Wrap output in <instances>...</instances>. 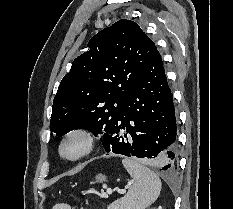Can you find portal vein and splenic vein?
Here are the masks:
<instances>
[{
	"mask_svg": "<svg viewBox=\"0 0 233 209\" xmlns=\"http://www.w3.org/2000/svg\"><path fill=\"white\" fill-rule=\"evenodd\" d=\"M107 193H102L101 196L102 197H108L109 194H112V189L111 188H107L106 190ZM122 193H125V190L122 191Z\"/></svg>",
	"mask_w": 233,
	"mask_h": 209,
	"instance_id": "portal-vein-and-splenic-vein-1",
	"label": "portal vein and splenic vein"
}]
</instances>
